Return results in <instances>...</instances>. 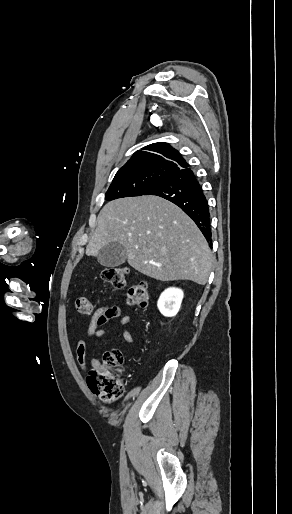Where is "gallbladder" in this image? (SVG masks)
Returning a JSON list of instances; mask_svg holds the SVG:
<instances>
[{
    "mask_svg": "<svg viewBox=\"0 0 292 514\" xmlns=\"http://www.w3.org/2000/svg\"><path fill=\"white\" fill-rule=\"evenodd\" d=\"M96 258L101 266L116 268V266L124 264L127 258V252L124 246L119 244V242H109V244H106V246H103V248L99 250Z\"/></svg>",
    "mask_w": 292,
    "mask_h": 514,
    "instance_id": "1",
    "label": "gallbladder"
}]
</instances>
